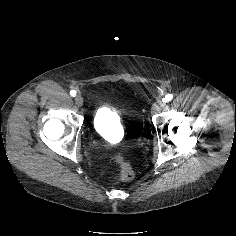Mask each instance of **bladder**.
Returning <instances> with one entry per match:
<instances>
[{"mask_svg": "<svg viewBox=\"0 0 236 236\" xmlns=\"http://www.w3.org/2000/svg\"><path fill=\"white\" fill-rule=\"evenodd\" d=\"M95 132L104 139H113L122 132V123L118 113L110 106L99 107L93 118Z\"/></svg>", "mask_w": 236, "mask_h": 236, "instance_id": "bladder-1", "label": "bladder"}]
</instances>
